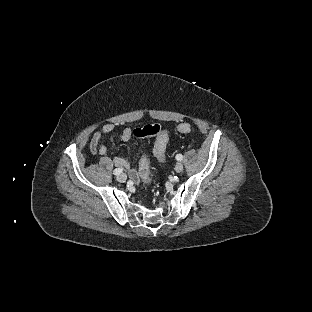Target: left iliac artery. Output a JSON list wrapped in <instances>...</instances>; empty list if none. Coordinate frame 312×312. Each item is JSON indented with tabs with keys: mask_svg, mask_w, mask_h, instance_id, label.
I'll use <instances>...</instances> for the list:
<instances>
[{
	"mask_svg": "<svg viewBox=\"0 0 312 312\" xmlns=\"http://www.w3.org/2000/svg\"><path fill=\"white\" fill-rule=\"evenodd\" d=\"M176 159H177L178 161H181V160L183 159V156H182L181 154H177V155H176Z\"/></svg>",
	"mask_w": 312,
	"mask_h": 312,
	"instance_id": "left-iliac-artery-1",
	"label": "left iliac artery"
}]
</instances>
